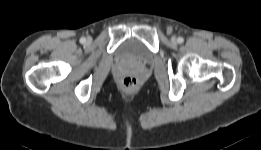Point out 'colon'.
<instances>
[{
    "label": "colon",
    "instance_id": "1",
    "mask_svg": "<svg viewBox=\"0 0 261 150\" xmlns=\"http://www.w3.org/2000/svg\"><path fill=\"white\" fill-rule=\"evenodd\" d=\"M121 85H122V88H123L124 91H126L128 93H132V92H135L138 89L139 81L134 76H126L122 80Z\"/></svg>",
    "mask_w": 261,
    "mask_h": 150
}]
</instances>
